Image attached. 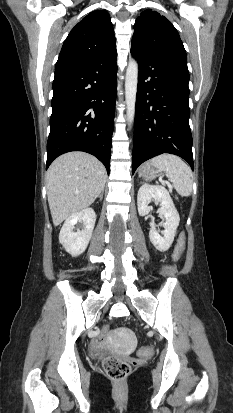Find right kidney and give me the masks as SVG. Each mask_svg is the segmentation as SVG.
Returning <instances> with one entry per match:
<instances>
[{"label":"right kidney","instance_id":"ca27d5eb","mask_svg":"<svg viewBox=\"0 0 233 413\" xmlns=\"http://www.w3.org/2000/svg\"><path fill=\"white\" fill-rule=\"evenodd\" d=\"M78 222L83 223V229L74 232V226ZM95 222L96 214L92 208H85L66 219L59 234V242L65 248L66 252L76 257L86 250L93 233Z\"/></svg>","mask_w":233,"mask_h":413}]
</instances>
